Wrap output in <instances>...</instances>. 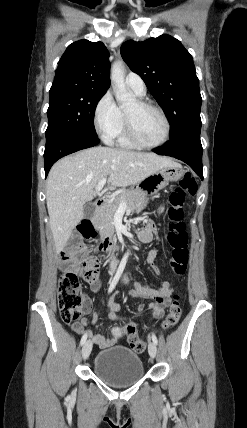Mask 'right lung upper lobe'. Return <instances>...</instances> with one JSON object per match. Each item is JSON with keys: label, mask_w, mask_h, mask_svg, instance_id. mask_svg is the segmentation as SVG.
<instances>
[{"label": "right lung upper lobe", "mask_w": 247, "mask_h": 428, "mask_svg": "<svg viewBox=\"0 0 247 428\" xmlns=\"http://www.w3.org/2000/svg\"><path fill=\"white\" fill-rule=\"evenodd\" d=\"M107 56L102 42L80 40L70 44L59 61L49 93L75 89L106 92L110 86Z\"/></svg>", "instance_id": "obj_1"}]
</instances>
